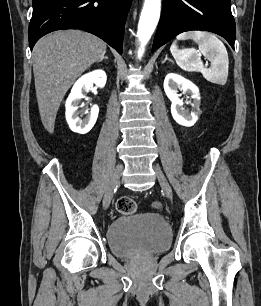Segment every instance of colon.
<instances>
[{"mask_svg":"<svg viewBox=\"0 0 261 306\" xmlns=\"http://www.w3.org/2000/svg\"><path fill=\"white\" fill-rule=\"evenodd\" d=\"M117 210L124 215H132L137 211V205L135 201L128 197L123 196L117 200Z\"/></svg>","mask_w":261,"mask_h":306,"instance_id":"colon-1","label":"colon"}]
</instances>
